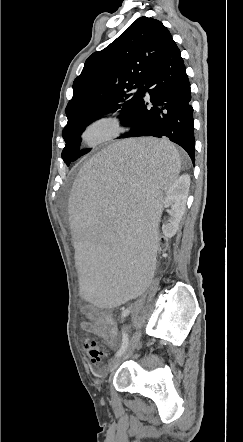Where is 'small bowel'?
<instances>
[{
  "instance_id": "1",
  "label": "small bowel",
  "mask_w": 243,
  "mask_h": 442,
  "mask_svg": "<svg viewBox=\"0 0 243 442\" xmlns=\"http://www.w3.org/2000/svg\"><path fill=\"white\" fill-rule=\"evenodd\" d=\"M86 320L82 328L87 333H95L107 345L115 347L118 341V330L115 319L110 311L100 312L98 309L88 306L83 309Z\"/></svg>"
}]
</instances>
